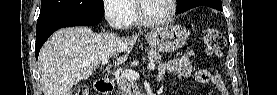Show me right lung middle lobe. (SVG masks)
Masks as SVG:
<instances>
[{
  "instance_id": "right-lung-middle-lobe-1",
  "label": "right lung middle lobe",
  "mask_w": 277,
  "mask_h": 95,
  "mask_svg": "<svg viewBox=\"0 0 277 95\" xmlns=\"http://www.w3.org/2000/svg\"><path fill=\"white\" fill-rule=\"evenodd\" d=\"M103 16V0H42L37 23Z\"/></svg>"
}]
</instances>
